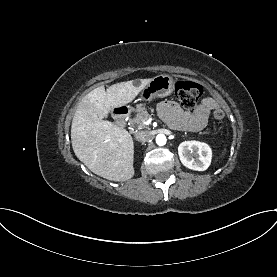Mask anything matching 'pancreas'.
Listing matches in <instances>:
<instances>
[{
  "mask_svg": "<svg viewBox=\"0 0 277 277\" xmlns=\"http://www.w3.org/2000/svg\"><path fill=\"white\" fill-rule=\"evenodd\" d=\"M136 111V117L132 119V123L137 124L139 129H142L145 127V121L148 120L150 117L149 113L147 112V109L144 106H137L135 109Z\"/></svg>",
  "mask_w": 277,
  "mask_h": 277,
  "instance_id": "pancreas-1",
  "label": "pancreas"
}]
</instances>
